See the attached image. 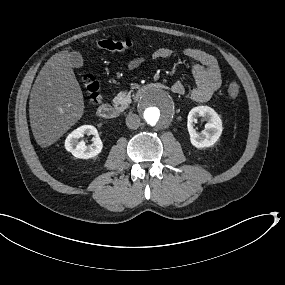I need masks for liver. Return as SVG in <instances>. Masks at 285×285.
Segmentation results:
<instances>
[{
  "label": "liver",
  "mask_w": 285,
  "mask_h": 285,
  "mask_svg": "<svg viewBox=\"0 0 285 285\" xmlns=\"http://www.w3.org/2000/svg\"><path fill=\"white\" fill-rule=\"evenodd\" d=\"M65 50L42 67L30 93L29 117L38 145L48 147L84 113L83 94Z\"/></svg>",
  "instance_id": "1"
}]
</instances>
